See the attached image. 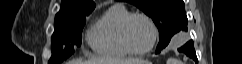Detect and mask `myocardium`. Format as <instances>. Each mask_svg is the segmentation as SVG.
I'll return each mask as SVG.
<instances>
[{
    "mask_svg": "<svg viewBox=\"0 0 242 64\" xmlns=\"http://www.w3.org/2000/svg\"><path fill=\"white\" fill-rule=\"evenodd\" d=\"M135 17L144 18L149 23V25L152 29V33H153V38H152L151 44L146 49H143V50L133 49L130 46L128 38H127V30H128L129 23ZM158 36H159V31H158V27L155 24L154 20L149 15H147L143 12H130L122 20L120 29H119V39H120L121 45L125 49V51L131 55H145V54H148L149 52H151L157 43Z\"/></svg>",
    "mask_w": 242,
    "mask_h": 64,
    "instance_id": "f54148a6",
    "label": "myocardium"
}]
</instances>
